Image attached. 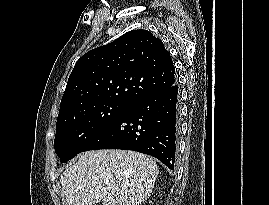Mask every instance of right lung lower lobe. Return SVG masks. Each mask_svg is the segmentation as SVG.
<instances>
[{"label": "right lung lower lobe", "instance_id": "right-lung-lower-lobe-1", "mask_svg": "<svg viewBox=\"0 0 269 205\" xmlns=\"http://www.w3.org/2000/svg\"><path fill=\"white\" fill-rule=\"evenodd\" d=\"M178 86L144 95L129 104L82 150L124 149L151 155L175 166L179 130Z\"/></svg>", "mask_w": 269, "mask_h": 205}]
</instances>
